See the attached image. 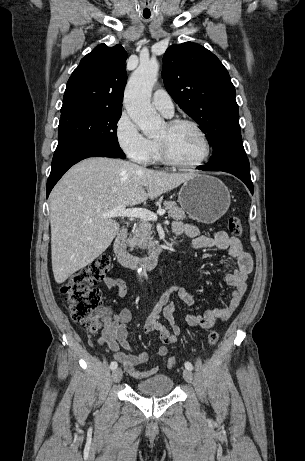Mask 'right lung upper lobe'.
<instances>
[{"mask_svg":"<svg viewBox=\"0 0 305 461\" xmlns=\"http://www.w3.org/2000/svg\"><path fill=\"white\" fill-rule=\"evenodd\" d=\"M127 53L121 45L101 44L82 58L67 82L62 108L95 105L122 109Z\"/></svg>","mask_w":305,"mask_h":461,"instance_id":"1","label":"right lung upper lobe"}]
</instances>
